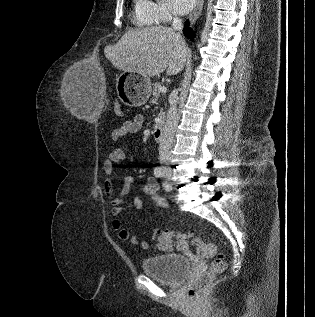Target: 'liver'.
<instances>
[{
	"mask_svg": "<svg viewBox=\"0 0 315 317\" xmlns=\"http://www.w3.org/2000/svg\"><path fill=\"white\" fill-rule=\"evenodd\" d=\"M104 54L118 70L150 78L165 70L167 75L178 74L190 50L173 28L155 26L127 31L115 45L107 46Z\"/></svg>",
	"mask_w": 315,
	"mask_h": 317,
	"instance_id": "6515ba94",
	"label": "liver"
}]
</instances>
